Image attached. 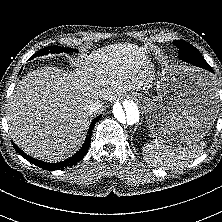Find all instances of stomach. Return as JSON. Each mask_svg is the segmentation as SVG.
<instances>
[{
    "label": "stomach",
    "instance_id": "1",
    "mask_svg": "<svg viewBox=\"0 0 222 222\" xmlns=\"http://www.w3.org/2000/svg\"><path fill=\"white\" fill-rule=\"evenodd\" d=\"M151 58L159 76L157 95L144 99L151 135L171 146L197 143L210 130L218 113L212 78L198 69H171L155 51Z\"/></svg>",
    "mask_w": 222,
    "mask_h": 222
}]
</instances>
